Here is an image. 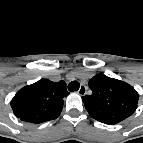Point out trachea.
<instances>
[{"label": "trachea", "mask_w": 143, "mask_h": 143, "mask_svg": "<svg viewBox=\"0 0 143 143\" xmlns=\"http://www.w3.org/2000/svg\"><path fill=\"white\" fill-rule=\"evenodd\" d=\"M68 89L70 91H77L79 89V82L78 81H72L68 85Z\"/></svg>", "instance_id": "3493384b"}]
</instances>
